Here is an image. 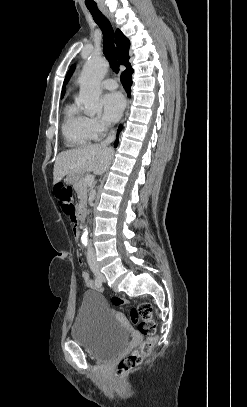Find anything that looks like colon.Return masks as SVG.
Wrapping results in <instances>:
<instances>
[{
    "label": "colon",
    "instance_id": "1",
    "mask_svg": "<svg viewBox=\"0 0 247 407\" xmlns=\"http://www.w3.org/2000/svg\"><path fill=\"white\" fill-rule=\"evenodd\" d=\"M54 193L59 200V205L67 216L74 213L73 191L66 184H56ZM128 299L123 296H113L112 303L116 306L128 304ZM130 320L133 324L138 325L142 334L146 336L145 341L140 346L139 350L123 357L116 369V376L121 378L127 373L134 370L148 356L156 343V325L153 319V309L149 303H142L130 310Z\"/></svg>",
    "mask_w": 247,
    "mask_h": 407
}]
</instances>
